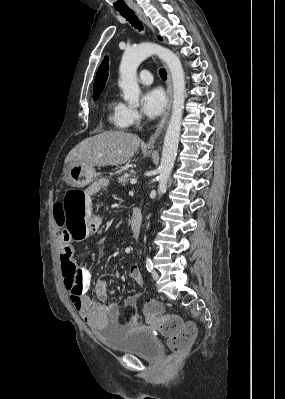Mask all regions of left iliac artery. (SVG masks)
I'll return each mask as SVG.
<instances>
[{
  "label": "left iliac artery",
  "mask_w": 285,
  "mask_h": 399,
  "mask_svg": "<svg viewBox=\"0 0 285 399\" xmlns=\"http://www.w3.org/2000/svg\"><path fill=\"white\" fill-rule=\"evenodd\" d=\"M146 268L148 272H152L153 270V263L149 257L146 258Z\"/></svg>",
  "instance_id": "left-iliac-artery-1"
}]
</instances>
